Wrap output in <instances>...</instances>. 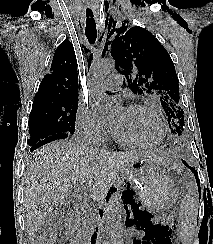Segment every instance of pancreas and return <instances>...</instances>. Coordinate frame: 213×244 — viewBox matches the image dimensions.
<instances>
[{
    "label": "pancreas",
    "mask_w": 213,
    "mask_h": 244,
    "mask_svg": "<svg viewBox=\"0 0 213 244\" xmlns=\"http://www.w3.org/2000/svg\"><path fill=\"white\" fill-rule=\"evenodd\" d=\"M92 233V224L86 220L79 231L80 238L84 241H87Z\"/></svg>",
    "instance_id": "1"
}]
</instances>
